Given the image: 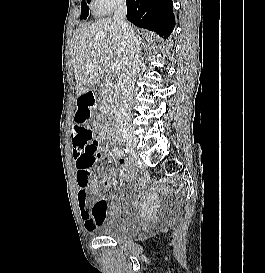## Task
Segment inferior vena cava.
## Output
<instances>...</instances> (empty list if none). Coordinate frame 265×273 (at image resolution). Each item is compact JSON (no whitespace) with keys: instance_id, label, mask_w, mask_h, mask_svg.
Here are the masks:
<instances>
[{"instance_id":"602c4592","label":"inferior vena cava","mask_w":265,"mask_h":273,"mask_svg":"<svg viewBox=\"0 0 265 273\" xmlns=\"http://www.w3.org/2000/svg\"><path fill=\"white\" fill-rule=\"evenodd\" d=\"M127 7L122 1L114 12L113 21L120 30L126 45V58L120 74V104L114 130L117 135L130 134L131 100L135 90L134 77L139 63V41L133 28L126 21Z\"/></svg>"}]
</instances>
